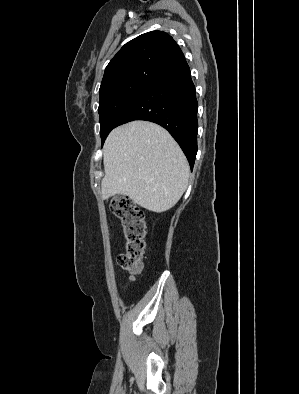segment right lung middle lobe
<instances>
[{
	"mask_svg": "<svg viewBox=\"0 0 299 394\" xmlns=\"http://www.w3.org/2000/svg\"><path fill=\"white\" fill-rule=\"evenodd\" d=\"M151 84L126 83L100 93L98 112L102 144L127 108Z\"/></svg>",
	"mask_w": 299,
	"mask_h": 394,
	"instance_id": "right-lung-middle-lobe-1",
	"label": "right lung middle lobe"
}]
</instances>
